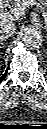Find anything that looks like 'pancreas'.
I'll return each mask as SVG.
<instances>
[{
  "label": "pancreas",
  "mask_w": 47,
  "mask_h": 129,
  "mask_svg": "<svg viewBox=\"0 0 47 129\" xmlns=\"http://www.w3.org/2000/svg\"><path fill=\"white\" fill-rule=\"evenodd\" d=\"M37 1H39L42 6H47V0H15V5L28 7L32 6L33 3H37Z\"/></svg>",
  "instance_id": "pancreas-1"
}]
</instances>
